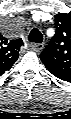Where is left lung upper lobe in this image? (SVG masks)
I'll list each match as a JSON object with an SVG mask.
<instances>
[{
    "mask_svg": "<svg viewBox=\"0 0 71 119\" xmlns=\"http://www.w3.org/2000/svg\"><path fill=\"white\" fill-rule=\"evenodd\" d=\"M56 33L40 54L48 70L71 74V12L55 15Z\"/></svg>",
    "mask_w": 71,
    "mask_h": 119,
    "instance_id": "left-lung-upper-lobe-1",
    "label": "left lung upper lobe"
}]
</instances>
